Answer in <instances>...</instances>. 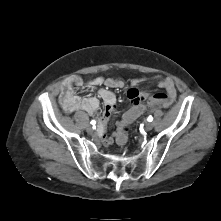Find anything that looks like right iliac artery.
Wrapping results in <instances>:
<instances>
[{"label": "right iliac artery", "mask_w": 221, "mask_h": 221, "mask_svg": "<svg viewBox=\"0 0 221 221\" xmlns=\"http://www.w3.org/2000/svg\"><path fill=\"white\" fill-rule=\"evenodd\" d=\"M90 123H91V125H93V126L96 125V121H95V120H92Z\"/></svg>", "instance_id": "82829eb1"}]
</instances>
